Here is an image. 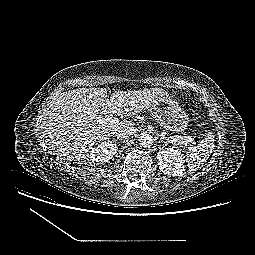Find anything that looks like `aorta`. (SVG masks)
<instances>
[{
	"label": "aorta",
	"instance_id": "762f6f07",
	"mask_svg": "<svg viewBox=\"0 0 255 255\" xmlns=\"http://www.w3.org/2000/svg\"><path fill=\"white\" fill-rule=\"evenodd\" d=\"M139 142L143 147H151L154 143V139L149 134H142L139 138Z\"/></svg>",
	"mask_w": 255,
	"mask_h": 255
}]
</instances>
